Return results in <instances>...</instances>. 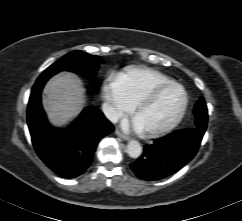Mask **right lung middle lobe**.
<instances>
[{
	"label": "right lung middle lobe",
	"instance_id": "obj_1",
	"mask_svg": "<svg viewBox=\"0 0 242 221\" xmlns=\"http://www.w3.org/2000/svg\"><path fill=\"white\" fill-rule=\"evenodd\" d=\"M103 60L94 55L87 54L83 51H73L66 54L63 58L49 66L37 79L33 86V90L42 89L46 81L54 74L60 71H72L81 73L85 76L93 78L98 70L99 64ZM94 91H98V83L92 84Z\"/></svg>",
	"mask_w": 242,
	"mask_h": 221
}]
</instances>
